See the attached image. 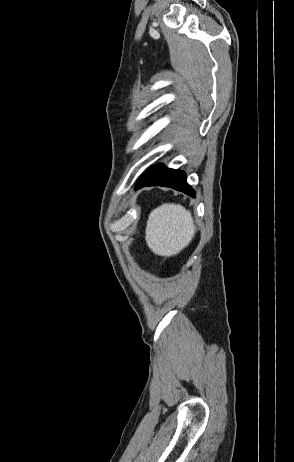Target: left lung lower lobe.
<instances>
[{"label":"left lung lower lobe","mask_w":294,"mask_h":462,"mask_svg":"<svg viewBox=\"0 0 294 462\" xmlns=\"http://www.w3.org/2000/svg\"><path fill=\"white\" fill-rule=\"evenodd\" d=\"M165 186L195 197V191L187 184L183 171L165 168L162 164L151 167L135 185V190L144 186Z\"/></svg>","instance_id":"1"}]
</instances>
